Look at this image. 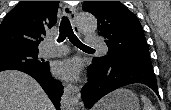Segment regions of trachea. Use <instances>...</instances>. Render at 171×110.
Listing matches in <instances>:
<instances>
[{
  "instance_id": "obj_1",
  "label": "trachea",
  "mask_w": 171,
  "mask_h": 110,
  "mask_svg": "<svg viewBox=\"0 0 171 110\" xmlns=\"http://www.w3.org/2000/svg\"><path fill=\"white\" fill-rule=\"evenodd\" d=\"M66 37L69 38L70 42L77 46L78 48H84V49H92L89 46H86L83 44L78 37L74 34L70 21L66 16L62 17L60 27H59V37H58V42H62L66 39Z\"/></svg>"
}]
</instances>
